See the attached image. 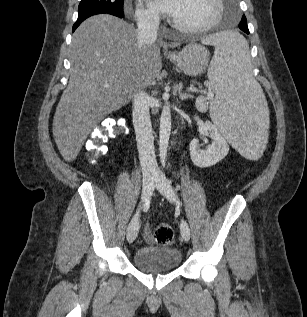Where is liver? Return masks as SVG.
Segmentation results:
<instances>
[{
    "label": "liver",
    "instance_id": "1",
    "mask_svg": "<svg viewBox=\"0 0 307 317\" xmlns=\"http://www.w3.org/2000/svg\"><path fill=\"white\" fill-rule=\"evenodd\" d=\"M178 45L149 42L139 49L136 28L122 19L101 14L85 20L72 37L70 79L53 119L62 157L73 161L92 128L160 74V48Z\"/></svg>",
    "mask_w": 307,
    "mask_h": 317
}]
</instances>
